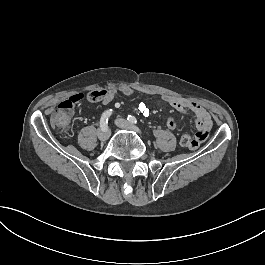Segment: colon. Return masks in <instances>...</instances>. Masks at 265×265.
Here are the masks:
<instances>
[{
    "instance_id": "obj_1",
    "label": "colon",
    "mask_w": 265,
    "mask_h": 265,
    "mask_svg": "<svg viewBox=\"0 0 265 265\" xmlns=\"http://www.w3.org/2000/svg\"><path fill=\"white\" fill-rule=\"evenodd\" d=\"M76 99L78 101H85L94 107H100L102 104L106 103L109 100V95L106 91L103 90H94L89 91L85 97L83 94H78L76 96H71L69 100L63 102L60 109H57L52 117L51 121L54 125L65 126L67 125L69 117L67 116V112L73 108V103H75ZM181 144L187 148H192V139L191 135H184L181 137Z\"/></svg>"
}]
</instances>
